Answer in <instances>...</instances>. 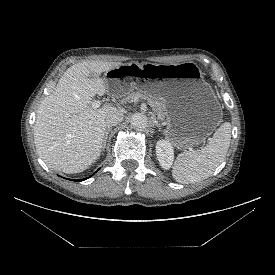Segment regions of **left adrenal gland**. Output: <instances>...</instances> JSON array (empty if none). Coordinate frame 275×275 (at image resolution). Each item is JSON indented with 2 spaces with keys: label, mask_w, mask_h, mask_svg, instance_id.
I'll return each instance as SVG.
<instances>
[{
  "label": "left adrenal gland",
  "mask_w": 275,
  "mask_h": 275,
  "mask_svg": "<svg viewBox=\"0 0 275 275\" xmlns=\"http://www.w3.org/2000/svg\"><path fill=\"white\" fill-rule=\"evenodd\" d=\"M152 123H153V126H154V127H157V128H158V131L160 132V131H161L160 124H159L158 121L156 120L155 116H152Z\"/></svg>",
  "instance_id": "a2214340"
}]
</instances>
